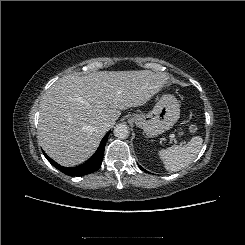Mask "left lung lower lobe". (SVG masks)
<instances>
[{
	"instance_id": "obj_1",
	"label": "left lung lower lobe",
	"mask_w": 245,
	"mask_h": 245,
	"mask_svg": "<svg viewBox=\"0 0 245 245\" xmlns=\"http://www.w3.org/2000/svg\"><path fill=\"white\" fill-rule=\"evenodd\" d=\"M143 171L147 172L145 169H143L141 166H139Z\"/></svg>"
}]
</instances>
